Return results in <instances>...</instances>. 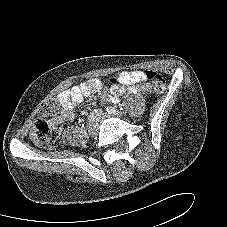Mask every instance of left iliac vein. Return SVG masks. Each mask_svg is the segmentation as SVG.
Masks as SVG:
<instances>
[{
	"mask_svg": "<svg viewBox=\"0 0 227 227\" xmlns=\"http://www.w3.org/2000/svg\"><path fill=\"white\" fill-rule=\"evenodd\" d=\"M112 116H118V115L107 114V113H105V114H103L102 116H100V117L98 118V122H102L104 119L110 118V117H112Z\"/></svg>",
	"mask_w": 227,
	"mask_h": 227,
	"instance_id": "4c4485c4",
	"label": "left iliac vein"
}]
</instances>
